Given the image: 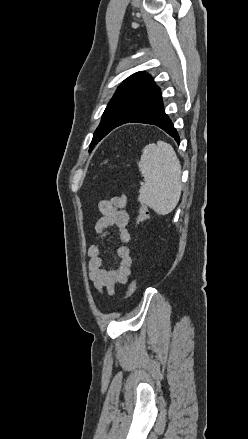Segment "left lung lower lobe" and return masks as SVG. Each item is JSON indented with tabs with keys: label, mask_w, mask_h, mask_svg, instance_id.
Wrapping results in <instances>:
<instances>
[{
	"label": "left lung lower lobe",
	"mask_w": 248,
	"mask_h": 439,
	"mask_svg": "<svg viewBox=\"0 0 248 439\" xmlns=\"http://www.w3.org/2000/svg\"><path fill=\"white\" fill-rule=\"evenodd\" d=\"M134 122L156 125L172 136L178 144L180 143L179 135L173 123L164 112L161 91L156 85L115 128L126 123Z\"/></svg>",
	"instance_id": "0a47b994"
}]
</instances>
